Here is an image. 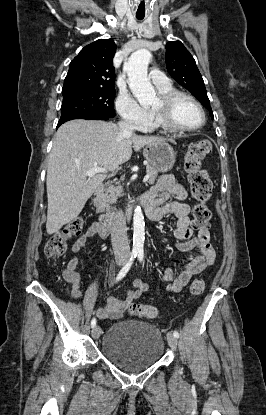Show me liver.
Segmentation results:
<instances>
[{"mask_svg":"<svg viewBox=\"0 0 266 415\" xmlns=\"http://www.w3.org/2000/svg\"><path fill=\"white\" fill-rule=\"evenodd\" d=\"M165 141L160 137L131 134L122 136L120 128L111 122L69 121L55 134L47 167V222L49 235L76 218L96 188L106 178L97 173L87 180L84 174L93 167L113 171L127 162L132 148L139 151L145 145Z\"/></svg>","mask_w":266,"mask_h":415,"instance_id":"liver-1","label":"liver"}]
</instances>
